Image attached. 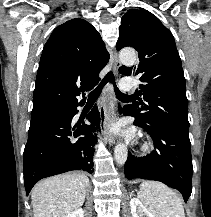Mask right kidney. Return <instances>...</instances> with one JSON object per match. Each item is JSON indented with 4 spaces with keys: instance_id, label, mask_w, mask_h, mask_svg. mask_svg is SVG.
Wrapping results in <instances>:
<instances>
[{
    "instance_id": "obj_1",
    "label": "right kidney",
    "mask_w": 211,
    "mask_h": 217,
    "mask_svg": "<svg viewBox=\"0 0 211 217\" xmlns=\"http://www.w3.org/2000/svg\"><path fill=\"white\" fill-rule=\"evenodd\" d=\"M66 217H84V211L81 208H79L68 214Z\"/></svg>"
}]
</instances>
